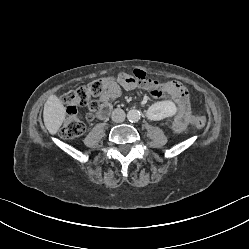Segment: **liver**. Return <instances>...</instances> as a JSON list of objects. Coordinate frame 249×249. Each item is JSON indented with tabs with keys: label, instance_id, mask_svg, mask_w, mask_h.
<instances>
[{
	"label": "liver",
	"instance_id": "1",
	"mask_svg": "<svg viewBox=\"0 0 249 249\" xmlns=\"http://www.w3.org/2000/svg\"><path fill=\"white\" fill-rule=\"evenodd\" d=\"M65 116L66 111L62 101L56 95H51L47 99L43 111L44 124L50 134L54 135L58 132Z\"/></svg>",
	"mask_w": 249,
	"mask_h": 249
}]
</instances>
